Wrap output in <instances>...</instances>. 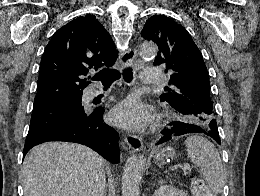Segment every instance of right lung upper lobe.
Instances as JSON below:
<instances>
[{"instance_id":"cb5924a9","label":"right lung upper lobe","mask_w":260,"mask_h":196,"mask_svg":"<svg viewBox=\"0 0 260 196\" xmlns=\"http://www.w3.org/2000/svg\"><path fill=\"white\" fill-rule=\"evenodd\" d=\"M114 42L92 14L80 16L55 32L41 59L34 106L82 96L89 71L112 66Z\"/></svg>"}]
</instances>
